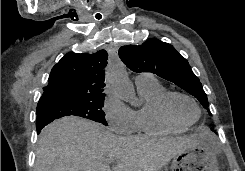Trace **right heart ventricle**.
Returning <instances> with one entry per match:
<instances>
[{"mask_svg": "<svg viewBox=\"0 0 245 171\" xmlns=\"http://www.w3.org/2000/svg\"><path fill=\"white\" fill-rule=\"evenodd\" d=\"M137 85L142 105L134 111L136 118V131L148 135H163L179 133L185 127L168 122L160 111V101L168 90L156 79Z\"/></svg>", "mask_w": 245, "mask_h": 171, "instance_id": "1", "label": "right heart ventricle"}]
</instances>
